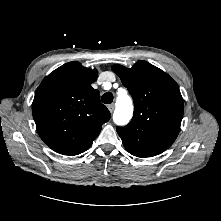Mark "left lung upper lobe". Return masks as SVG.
Returning a JSON list of instances; mask_svg holds the SVG:
<instances>
[{
	"instance_id": "left-lung-upper-lobe-1",
	"label": "left lung upper lobe",
	"mask_w": 221,
	"mask_h": 221,
	"mask_svg": "<svg viewBox=\"0 0 221 221\" xmlns=\"http://www.w3.org/2000/svg\"><path fill=\"white\" fill-rule=\"evenodd\" d=\"M134 100V115L125 127H117L125 149L137 157L156 156L177 138L184 104L177 83L146 61L132 68L112 66Z\"/></svg>"
}]
</instances>
